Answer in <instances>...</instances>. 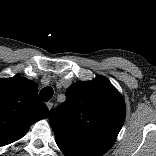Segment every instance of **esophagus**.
Wrapping results in <instances>:
<instances>
[{
    "label": "esophagus",
    "mask_w": 156,
    "mask_h": 156,
    "mask_svg": "<svg viewBox=\"0 0 156 156\" xmlns=\"http://www.w3.org/2000/svg\"><path fill=\"white\" fill-rule=\"evenodd\" d=\"M46 105H47L48 109L50 110L52 108V106H53V103L52 102H47Z\"/></svg>",
    "instance_id": "obj_1"
}]
</instances>
